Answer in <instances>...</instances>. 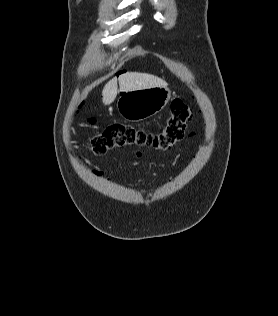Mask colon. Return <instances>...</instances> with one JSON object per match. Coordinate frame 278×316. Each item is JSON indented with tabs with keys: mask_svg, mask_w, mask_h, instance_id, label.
<instances>
[{
	"mask_svg": "<svg viewBox=\"0 0 278 316\" xmlns=\"http://www.w3.org/2000/svg\"><path fill=\"white\" fill-rule=\"evenodd\" d=\"M192 118V111L182 100L171 104V112L165 127L157 133L142 128L114 122L101 129L90 141L91 151L102 155L108 150L122 146H137L165 151L185 137V127ZM94 125V119L89 120Z\"/></svg>",
	"mask_w": 278,
	"mask_h": 316,
	"instance_id": "obj_1",
	"label": "colon"
}]
</instances>
